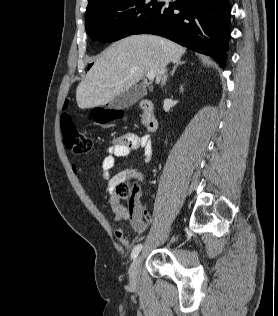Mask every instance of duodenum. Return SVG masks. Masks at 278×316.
Wrapping results in <instances>:
<instances>
[{"label": "duodenum", "mask_w": 278, "mask_h": 316, "mask_svg": "<svg viewBox=\"0 0 278 316\" xmlns=\"http://www.w3.org/2000/svg\"><path fill=\"white\" fill-rule=\"evenodd\" d=\"M139 106L144 113L146 129L149 132H155L158 129L159 122L153 102L148 99H142L139 102Z\"/></svg>", "instance_id": "1"}]
</instances>
